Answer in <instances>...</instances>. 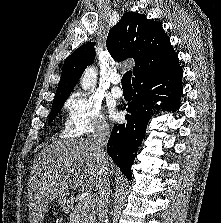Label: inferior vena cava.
Returning a JSON list of instances; mask_svg holds the SVG:
<instances>
[{"mask_svg":"<svg viewBox=\"0 0 221 223\" xmlns=\"http://www.w3.org/2000/svg\"><path fill=\"white\" fill-rule=\"evenodd\" d=\"M110 137V129L106 122H100L96 125L92 136V142L95 146L97 158L100 166L99 179V197H98V214L99 223H104L107 218L109 197H110V182L108 177V156L106 153V144Z\"/></svg>","mask_w":221,"mask_h":223,"instance_id":"inferior-vena-cava-1","label":"inferior vena cava"}]
</instances>
